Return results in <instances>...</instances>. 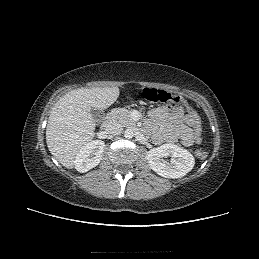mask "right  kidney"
<instances>
[{
	"label": "right kidney",
	"instance_id": "right-kidney-1",
	"mask_svg": "<svg viewBox=\"0 0 259 259\" xmlns=\"http://www.w3.org/2000/svg\"><path fill=\"white\" fill-rule=\"evenodd\" d=\"M104 141L94 140L82 147L76 155L75 169L79 172H87L96 167L103 156Z\"/></svg>",
	"mask_w": 259,
	"mask_h": 259
}]
</instances>
